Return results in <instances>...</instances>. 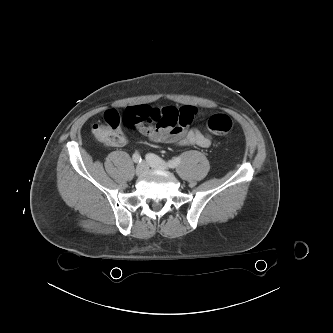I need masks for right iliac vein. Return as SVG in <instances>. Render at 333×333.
I'll return each mask as SVG.
<instances>
[{"mask_svg": "<svg viewBox=\"0 0 333 333\" xmlns=\"http://www.w3.org/2000/svg\"><path fill=\"white\" fill-rule=\"evenodd\" d=\"M146 169H147L146 163L145 162L140 163L137 165L135 173L137 176H142L145 173Z\"/></svg>", "mask_w": 333, "mask_h": 333, "instance_id": "63e3f726", "label": "right iliac vein"}]
</instances>
